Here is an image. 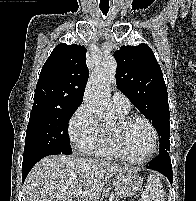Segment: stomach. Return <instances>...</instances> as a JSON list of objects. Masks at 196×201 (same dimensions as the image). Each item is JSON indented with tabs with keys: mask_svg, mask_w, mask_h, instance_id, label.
<instances>
[{
	"mask_svg": "<svg viewBox=\"0 0 196 201\" xmlns=\"http://www.w3.org/2000/svg\"><path fill=\"white\" fill-rule=\"evenodd\" d=\"M143 179L136 173L125 172L116 176L115 190L122 197L134 196L141 190Z\"/></svg>",
	"mask_w": 196,
	"mask_h": 201,
	"instance_id": "0dacf381",
	"label": "stomach"
}]
</instances>
